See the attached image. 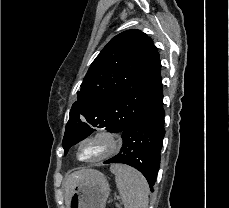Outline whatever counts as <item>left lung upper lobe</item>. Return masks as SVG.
I'll use <instances>...</instances> for the list:
<instances>
[{
    "label": "left lung upper lobe",
    "instance_id": "left-lung-upper-lobe-1",
    "mask_svg": "<svg viewBox=\"0 0 229 208\" xmlns=\"http://www.w3.org/2000/svg\"><path fill=\"white\" fill-rule=\"evenodd\" d=\"M161 63L153 41L140 30L118 34L92 62L73 103L63 148L89 136L95 127L123 130L162 94Z\"/></svg>",
    "mask_w": 229,
    "mask_h": 208
}]
</instances>
